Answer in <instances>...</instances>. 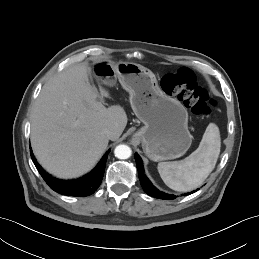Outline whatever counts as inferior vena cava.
Returning <instances> with one entry per match:
<instances>
[{
	"label": "inferior vena cava",
	"instance_id": "602c4592",
	"mask_svg": "<svg viewBox=\"0 0 259 259\" xmlns=\"http://www.w3.org/2000/svg\"><path fill=\"white\" fill-rule=\"evenodd\" d=\"M103 133L108 139H113V137L115 136V131L110 128L105 129Z\"/></svg>",
	"mask_w": 259,
	"mask_h": 259
}]
</instances>
